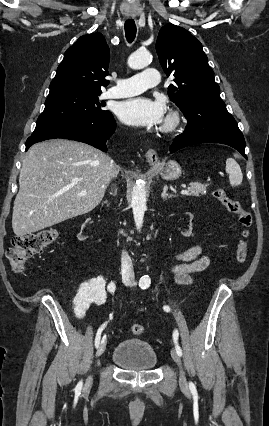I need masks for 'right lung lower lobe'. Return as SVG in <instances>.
Listing matches in <instances>:
<instances>
[{
  "label": "right lung lower lobe",
  "instance_id": "98d812e1",
  "mask_svg": "<svg viewBox=\"0 0 269 426\" xmlns=\"http://www.w3.org/2000/svg\"><path fill=\"white\" fill-rule=\"evenodd\" d=\"M116 129V122L111 112L94 119L73 122L58 128L50 129L30 136L26 141V150L37 142L64 138L92 145L102 151H107L106 142Z\"/></svg>",
  "mask_w": 269,
  "mask_h": 426
}]
</instances>
